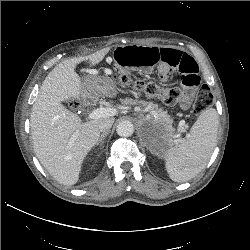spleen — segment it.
Returning a JSON list of instances; mask_svg holds the SVG:
<instances>
[{
	"mask_svg": "<svg viewBox=\"0 0 250 250\" xmlns=\"http://www.w3.org/2000/svg\"><path fill=\"white\" fill-rule=\"evenodd\" d=\"M218 125L214 108L202 111L188 138L164 153L165 167L173 181L186 182L206 166L216 146Z\"/></svg>",
	"mask_w": 250,
	"mask_h": 250,
	"instance_id": "1",
	"label": "spleen"
}]
</instances>
